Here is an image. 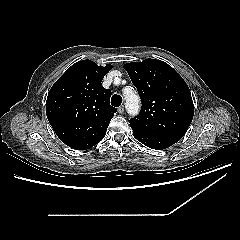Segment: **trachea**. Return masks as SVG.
<instances>
[{"label":"trachea","instance_id":"1","mask_svg":"<svg viewBox=\"0 0 240 240\" xmlns=\"http://www.w3.org/2000/svg\"><path fill=\"white\" fill-rule=\"evenodd\" d=\"M122 103V97L120 95H113L111 98V105L114 107H119Z\"/></svg>","mask_w":240,"mask_h":240}]
</instances>
